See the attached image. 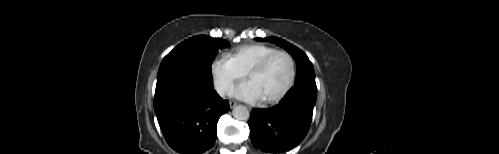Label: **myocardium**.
Wrapping results in <instances>:
<instances>
[{
    "label": "myocardium",
    "instance_id": "f54148a6",
    "mask_svg": "<svg viewBox=\"0 0 499 154\" xmlns=\"http://www.w3.org/2000/svg\"><path fill=\"white\" fill-rule=\"evenodd\" d=\"M278 55H283L288 59L289 64H290V75H289V79H288L285 87L282 89V91L280 93H278L276 96H274L272 98L263 100V102L266 104H274V103L281 101L289 93V91L293 87L294 82H295V78H296V63H295L293 56L285 50H275V51L271 52L270 54L266 55L264 58H262L256 64H254L247 71L248 78L253 73H258V72L263 71L268 66V64L273 60V58H275Z\"/></svg>",
    "mask_w": 499,
    "mask_h": 154
}]
</instances>
